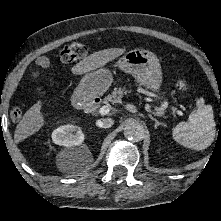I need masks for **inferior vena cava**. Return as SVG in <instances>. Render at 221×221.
Returning a JSON list of instances; mask_svg holds the SVG:
<instances>
[{"label":"inferior vena cava","instance_id":"obj_1","mask_svg":"<svg viewBox=\"0 0 221 221\" xmlns=\"http://www.w3.org/2000/svg\"><path fill=\"white\" fill-rule=\"evenodd\" d=\"M114 121L111 118H103L96 122V125L100 128H110Z\"/></svg>","mask_w":221,"mask_h":221}]
</instances>
